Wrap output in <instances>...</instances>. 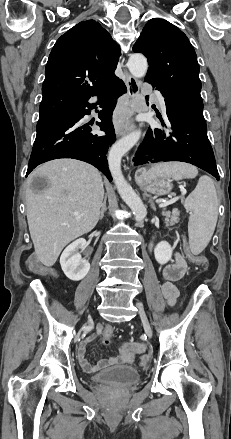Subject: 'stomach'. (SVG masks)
Wrapping results in <instances>:
<instances>
[{
  "instance_id": "0dacf381",
  "label": "stomach",
  "mask_w": 231,
  "mask_h": 439,
  "mask_svg": "<svg viewBox=\"0 0 231 439\" xmlns=\"http://www.w3.org/2000/svg\"><path fill=\"white\" fill-rule=\"evenodd\" d=\"M135 180L144 190L157 196L169 194L173 188V184L167 178H149L146 169L137 170L135 173Z\"/></svg>"
}]
</instances>
